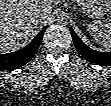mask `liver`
<instances>
[{
    "label": "liver",
    "instance_id": "1",
    "mask_svg": "<svg viewBox=\"0 0 111 106\" xmlns=\"http://www.w3.org/2000/svg\"><path fill=\"white\" fill-rule=\"evenodd\" d=\"M56 0H1L0 1V50L2 53L21 48L52 11ZM39 11L43 18L37 16Z\"/></svg>",
    "mask_w": 111,
    "mask_h": 106
}]
</instances>
